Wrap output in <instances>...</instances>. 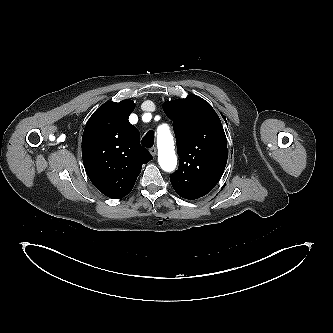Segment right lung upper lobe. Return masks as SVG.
<instances>
[{
    "mask_svg": "<svg viewBox=\"0 0 333 333\" xmlns=\"http://www.w3.org/2000/svg\"><path fill=\"white\" fill-rule=\"evenodd\" d=\"M132 100L106 102L86 123L82 136L85 171L94 186L112 199L126 196L133 188L142 164L152 160L140 145V135L129 123Z\"/></svg>",
    "mask_w": 333,
    "mask_h": 333,
    "instance_id": "obj_1",
    "label": "right lung upper lobe"
}]
</instances>
